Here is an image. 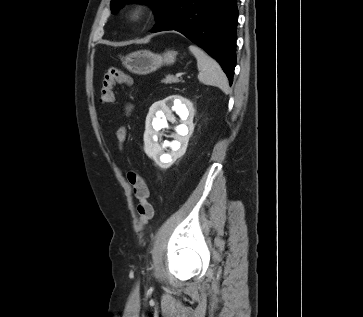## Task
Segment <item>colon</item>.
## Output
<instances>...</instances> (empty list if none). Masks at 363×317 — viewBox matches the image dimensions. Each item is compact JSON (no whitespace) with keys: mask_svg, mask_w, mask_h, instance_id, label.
Here are the masks:
<instances>
[{"mask_svg":"<svg viewBox=\"0 0 363 317\" xmlns=\"http://www.w3.org/2000/svg\"><path fill=\"white\" fill-rule=\"evenodd\" d=\"M131 77L117 68H109L104 75L102 86L99 92V100L102 103H112L114 101V87L116 84L130 85ZM128 180L133 187L134 194L138 199V223L140 227H145L153 216V207L149 202V189L144 177L137 170H130Z\"/></svg>","mask_w":363,"mask_h":317,"instance_id":"colon-1","label":"colon"}]
</instances>
